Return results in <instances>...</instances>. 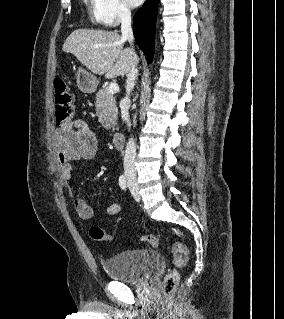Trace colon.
I'll use <instances>...</instances> for the list:
<instances>
[{
  "instance_id": "1",
  "label": "colon",
  "mask_w": 284,
  "mask_h": 319,
  "mask_svg": "<svg viewBox=\"0 0 284 319\" xmlns=\"http://www.w3.org/2000/svg\"><path fill=\"white\" fill-rule=\"evenodd\" d=\"M55 88V118L57 125L61 126L72 122L75 112V97L65 80L57 78L54 82ZM90 237L95 241H112L115 237L98 227H92L89 231ZM142 242L157 247L160 237L157 235H144L140 238ZM174 267L166 274L163 282V291L171 295L178 283V269L184 267L188 260V251L180 242H174L171 246Z\"/></svg>"
}]
</instances>
